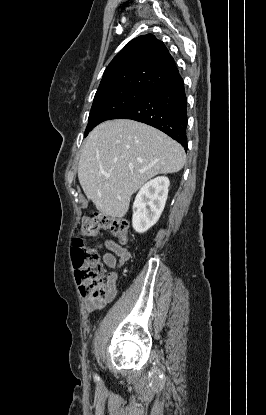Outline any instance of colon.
<instances>
[{"label":"colon","mask_w":266,"mask_h":415,"mask_svg":"<svg viewBox=\"0 0 266 415\" xmlns=\"http://www.w3.org/2000/svg\"><path fill=\"white\" fill-rule=\"evenodd\" d=\"M102 229L108 230L123 243L128 241L129 226L126 220L97 212L82 219L71 250L75 276L80 284V290L95 300L108 298L111 289L99 254L86 247L84 238L96 236Z\"/></svg>","instance_id":"colon-1"}]
</instances>
